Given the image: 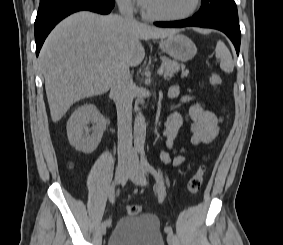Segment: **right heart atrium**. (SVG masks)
<instances>
[{"label":"right heart atrium","instance_id":"1","mask_svg":"<svg viewBox=\"0 0 283 245\" xmlns=\"http://www.w3.org/2000/svg\"><path fill=\"white\" fill-rule=\"evenodd\" d=\"M116 2L126 11H132L135 8L134 0H116Z\"/></svg>","mask_w":283,"mask_h":245}]
</instances>
